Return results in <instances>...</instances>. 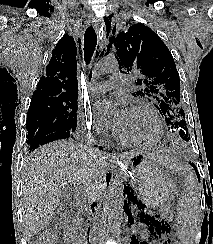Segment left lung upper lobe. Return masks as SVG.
I'll use <instances>...</instances> for the list:
<instances>
[{"label": "left lung upper lobe", "mask_w": 213, "mask_h": 244, "mask_svg": "<svg viewBox=\"0 0 213 244\" xmlns=\"http://www.w3.org/2000/svg\"><path fill=\"white\" fill-rule=\"evenodd\" d=\"M111 44L116 49L120 72L136 77L137 89L133 96L153 98L169 130L189 141L185 111L180 102L179 74L161 38L149 27L134 24L119 32Z\"/></svg>", "instance_id": "1"}]
</instances>
